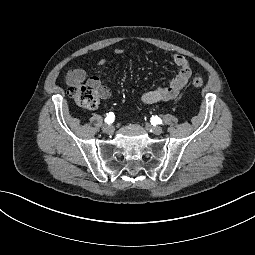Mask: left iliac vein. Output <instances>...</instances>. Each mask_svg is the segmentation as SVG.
Segmentation results:
<instances>
[{
  "label": "left iliac vein",
  "mask_w": 255,
  "mask_h": 255,
  "mask_svg": "<svg viewBox=\"0 0 255 255\" xmlns=\"http://www.w3.org/2000/svg\"><path fill=\"white\" fill-rule=\"evenodd\" d=\"M145 127L147 130L151 131L152 133L156 135H160L163 132L160 126H151L150 124L147 123Z\"/></svg>",
  "instance_id": "obj_1"
}]
</instances>
